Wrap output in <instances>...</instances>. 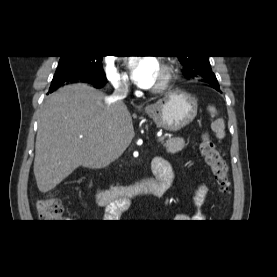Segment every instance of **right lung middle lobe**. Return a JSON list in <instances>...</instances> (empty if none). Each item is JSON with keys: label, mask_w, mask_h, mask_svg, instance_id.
Wrapping results in <instances>:
<instances>
[{"label": "right lung middle lobe", "mask_w": 277, "mask_h": 277, "mask_svg": "<svg viewBox=\"0 0 277 277\" xmlns=\"http://www.w3.org/2000/svg\"><path fill=\"white\" fill-rule=\"evenodd\" d=\"M59 65L53 77L49 92H53L65 82L90 80L103 83L105 73L102 68L103 56H60Z\"/></svg>", "instance_id": "right-lung-middle-lobe-1"}]
</instances>
